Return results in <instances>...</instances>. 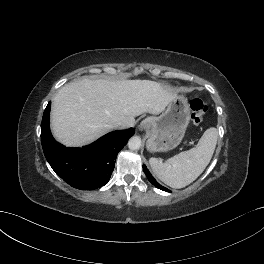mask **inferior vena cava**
I'll list each match as a JSON object with an SVG mask.
<instances>
[{
    "instance_id": "602c4592",
    "label": "inferior vena cava",
    "mask_w": 264,
    "mask_h": 264,
    "mask_svg": "<svg viewBox=\"0 0 264 264\" xmlns=\"http://www.w3.org/2000/svg\"><path fill=\"white\" fill-rule=\"evenodd\" d=\"M114 129H125L126 128V124L123 122H117L113 125Z\"/></svg>"
}]
</instances>
